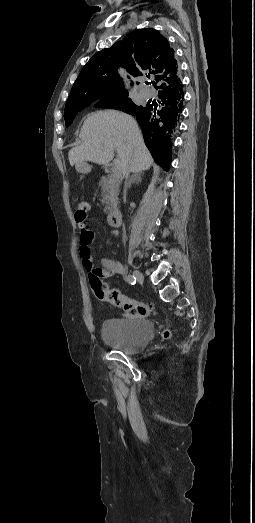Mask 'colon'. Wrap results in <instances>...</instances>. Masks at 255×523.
I'll return each mask as SVG.
<instances>
[{"mask_svg": "<svg viewBox=\"0 0 255 523\" xmlns=\"http://www.w3.org/2000/svg\"><path fill=\"white\" fill-rule=\"evenodd\" d=\"M89 204L86 201H80L77 204V209L75 213L76 222L81 224H86L88 217ZM89 281L91 287L96 295V297L109 303L117 308H121L127 312L137 314L140 316L149 315L153 309L150 305L143 303L137 299L128 297L114 289L108 288L102 281L101 278L95 273L90 272ZM163 337L165 339L170 337V332L168 330L163 332Z\"/></svg>", "mask_w": 255, "mask_h": 523, "instance_id": "5ec220e1", "label": "colon"}]
</instances>
